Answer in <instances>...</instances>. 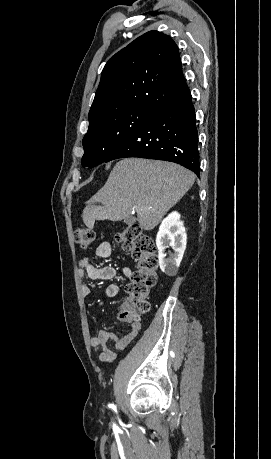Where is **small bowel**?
I'll use <instances>...</instances> for the list:
<instances>
[{
  "label": "small bowel",
  "instance_id": "small-bowel-1",
  "mask_svg": "<svg viewBox=\"0 0 271 459\" xmlns=\"http://www.w3.org/2000/svg\"><path fill=\"white\" fill-rule=\"evenodd\" d=\"M112 255V246L109 242H101L96 247L94 255H84L79 260V274L91 280H113L117 275V270L112 266H95L92 264L93 257L107 259ZM122 273L127 278H132L133 271L129 267H124ZM120 290L117 283H111L106 288L107 297H115ZM82 294L88 297L91 294V289L87 285L82 286ZM118 317L122 321L130 323L129 331L123 337H117L111 332L99 331L98 334L91 338V347L98 352V357L101 362L110 364L116 359V353L107 346V342L112 340L117 350H123L129 345L140 333L141 324L132 322L123 318L118 313Z\"/></svg>",
  "mask_w": 271,
  "mask_h": 459
}]
</instances>
